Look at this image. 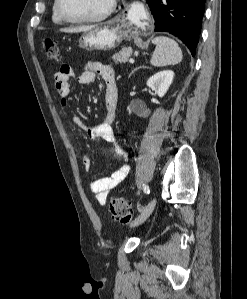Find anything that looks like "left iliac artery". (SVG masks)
<instances>
[{
	"label": "left iliac artery",
	"mask_w": 247,
	"mask_h": 299,
	"mask_svg": "<svg viewBox=\"0 0 247 299\" xmlns=\"http://www.w3.org/2000/svg\"><path fill=\"white\" fill-rule=\"evenodd\" d=\"M143 190H144V192H145L146 194H149V193H150V188H149L148 185H144V186H143Z\"/></svg>",
	"instance_id": "left-iliac-artery-1"
}]
</instances>
